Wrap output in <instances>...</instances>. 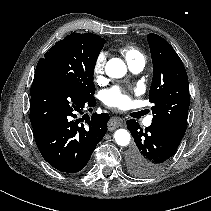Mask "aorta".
<instances>
[{"mask_svg":"<svg viewBox=\"0 0 211 211\" xmlns=\"http://www.w3.org/2000/svg\"><path fill=\"white\" fill-rule=\"evenodd\" d=\"M106 74L111 78H122L127 72L125 63L119 58H111L105 66ZM114 139L120 146H127L130 142V133L126 129H118Z\"/></svg>","mask_w":211,"mask_h":211,"instance_id":"762f6f07","label":"aorta"}]
</instances>
